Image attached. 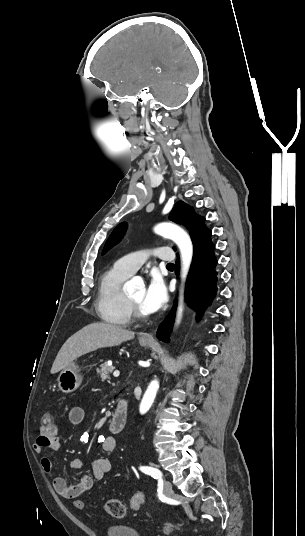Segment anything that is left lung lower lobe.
<instances>
[{"instance_id": "obj_1", "label": "left lung lower lobe", "mask_w": 305, "mask_h": 536, "mask_svg": "<svg viewBox=\"0 0 305 536\" xmlns=\"http://www.w3.org/2000/svg\"><path fill=\"white\" fill-rule=\"evenodd\" d=\"M193 260L186 283V299L189 304L198 312L199 318L205 307L212 301L216 294V271L217 264L214 256V244L211 241V231L208 229L193 242ZM179 260L176 261L175 272L179 275ZM176 307V305H175ZM175 317V308L169 313L161 323L157 331L159 340L168 342L169 334L172 330V323Z\"/></svg>"}]
</instances>
